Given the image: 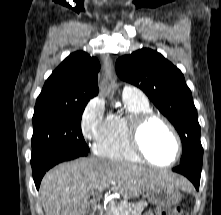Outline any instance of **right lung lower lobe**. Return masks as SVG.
<instances>
[{
    "instance_id": "98d812e1",
    "label": "right lung lower lobe",
    "mask_w": 221,
    "mask_h": 215,
    "mask_svg": "<svg viewBox=\"0 0 221 215\" xmlns=\"http://www.w3.org/2000/svg\"><path fill=\"white\" fill-rule=\"evenodd\" d=\"M88 151L85 150H66V151H56L50 155H47L42 160L32 165L33 179L36 188L39 189L42 177L47 170L52 168L58 163L73 160L75 158L86 156Z\"/></svg>"
}]
</instances>
